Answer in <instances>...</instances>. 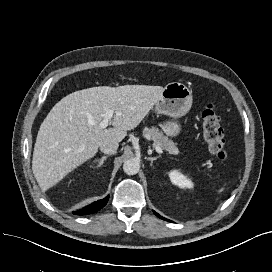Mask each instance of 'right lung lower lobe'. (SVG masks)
<instances>
[{"label":"right lung lower lobe","instance_id":"98d812e1","mask_svg":"<svg viewBox=\"0 0 272 272\" xmlns=\"http://www.w3.org/2000/svg\"><path fill=\"white\" fill-rule=\"evenodd\" d=\"M109 199V196L105 197L104 199L98 200L78 211H74L73 213L76 215H86V214H92L103 208Z\"/></svg>","mask_w":272,"mask_h":272}]
</instances>
